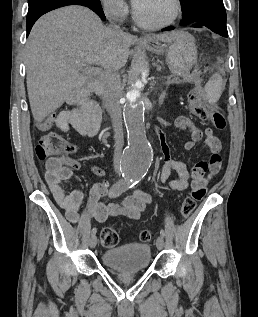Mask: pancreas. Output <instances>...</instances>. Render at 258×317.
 <instances>
[{"instance_id":"obj_1","label":"pancreas","mask_w":258,"mask_h":317,"mask_svg":"<svg viewBox=\"0 0 258 317\" xmlns=\"http://www.w3.org/2000/svg\"><path fill=\"white\" fill-rule=\"evenodd\" d=\"M177 78H172V80H170V76H168V80L167 82H176Z\"/></svg>"}]
</instances>
